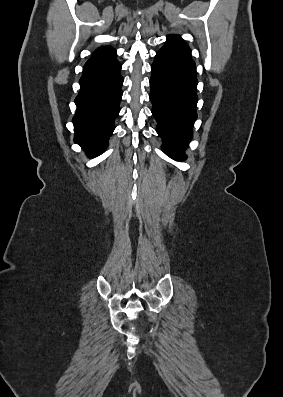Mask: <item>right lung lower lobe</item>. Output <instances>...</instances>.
Segmentation results:
<instances>
[{
    "mask_svg": "<svg viewBox=\"0 0 283 397\" xmlns=\"http://www.w3.org/2000/svg\"><path fill=\"white\" fill-rule=\"evenodd\" d=\"M121 64L115 58L84 67L79 80L81 90L75 98L73 117L75 143L90 157L104 152L115 129L122 98Z\"/></svg>",
    "mask_w": 283,
    "mask_h": 397,
    "instance_id": "obj_1",
    "label": "right lung lower lobe"
}]
</instances>
